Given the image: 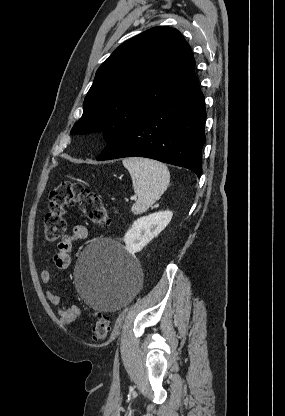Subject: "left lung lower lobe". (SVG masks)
Returning a JSON list of instances; mask_svg holds the SVG:
<instances>
[{"label": "left lung lower lobe", "mask_w": 285, "mask_h": 416, "mask_svg": "<svg viewBox=\"0 0 285 416\" xmlns=\"http://www.w3.org/2000/svg\"><path fill=\"white\" fill-rule=\"evenodd\" d=\"M205 120L204 96L194 77L174 97L116 136L97 160L147 157L185 167L200 177Z\"/></svg>", "instance_id": "0a47b994"}]
</instances>
